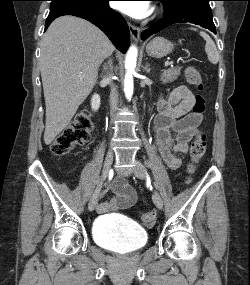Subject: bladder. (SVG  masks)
<instances>
[{"label":"bladder","instance_id":"1","mask_svg":"<svg viewBox=\"0 0 250 285\" xmlns=\"http://www.w3.org/2000/svg\"><path fill=\"white\" fill-rule=\"evenodd\" d=\"M92 237L100 247L118 254L138 251L148 241V234L141 226L119 222L110 216H101L94 221Z\"/></svg>","mask_w":250,"mask_h":285}]
</instances>
